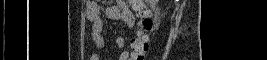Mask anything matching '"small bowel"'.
Here are the masks:
<instances>
[{"instance_id": "c3829d8e", "label": "small bowel", "mask_w": 267, "mask_h": 60, "mask_svg": "<svg viewBox=\"0 0 267 60\" xmlns=\"http://www.w3.org/2000/svg\"><path fill=\"white\" fill-rule=\"evenodd\" d=\"M105 4V1H88L86 7V15L90 21V34L91 38L97 47V49H103L105 46L104 38V23L101 17V6ZM106 17L113 21H122L125 25L133 27L135 24V18L132 11L129 9L124 1H116L114 5L108 6L105 11ZM116 45L119 49H122L125 45V39L122 36L116 38ZM133 46V40L131 43ZM131 52L122 51L119 60H130ZM90 60H100L98 54H92Z\"/></svg>"}]
</instances>
